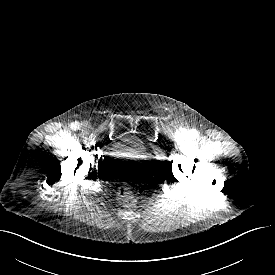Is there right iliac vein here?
I'll return each instance as SVG.
<instances>
[{"instance_id": "63e3f726", "label": "right iliac vein", "mask_w": 275, "mask_h": 275, "mask_svg": "<svg viewBox=\"0 0 275 275\" xmlns=\"http://www.w3.org/2000/svg\"><path fill=\"white\" fill-rule=\"evenodd\" d=\"M84 128H87V125H86V124H83V125L81 126V129H84Z\"/></svg>"}]
</instances>
